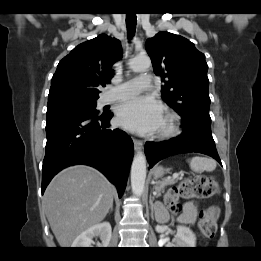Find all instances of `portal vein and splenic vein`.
I'll use <instances>...</instances> for the list:
<instances>
[{"mask_svg": "<svg viewBox=\"0 0 261 261\" xmlns=\"http://www.w3.org/2000/svg\"><path fill=\"white\" fill-rule=\"evenodd\" d=\"M179 177V174L178 173H175V174H173V176H172V180H174V179H176V178H178Z\"/></svg>", "mask_w": 261, "mask_h": 261, "instance_id": "18ae733b", "label": "portal vein and splenic vein"}]
</instances>
